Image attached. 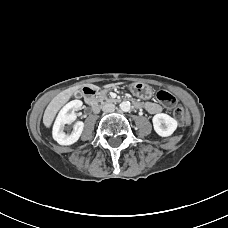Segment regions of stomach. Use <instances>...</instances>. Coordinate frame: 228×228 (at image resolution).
I'll use <instances>...</instances> for the list:
<instances>
[{"label": "stomach", "instance_id": "1", "mask_svg": "<svg viewBox=\"0 0 228 228\" xmlns=\"http://www.w3.org/2000/svg\"><path fill=\"white\" fill-rule=\"evenodd\" d=\"M129 89L134 96L141 99H149L153 94L152 88L148 84L140 81L131 83Z\"/></svg>", "mask_w": 228, "mask_h": 228}]
</instances>
